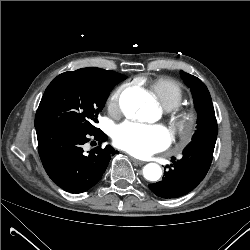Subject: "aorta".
Listing matches in <instances>:
<instances>
[{"instance_id": "aorta-1", "label": "aorta", "mask_w": 250, "mask_h": 250, "mask_svg": "<svg viewBox=\"0 0 250 250\" xmlns=\"http://www.w3.org/2000/svg\"><path fill=\"white\" fill-rule=\"evenodd\" d=\"M147 92L140 88L127 90L120 101L121 109L128 117L136 116L140 120H151L155 115V109L146 105ZM143 175L149 181H157L162 170L156 163H149L143 168Z\"/></svg>"}]
</instances>
